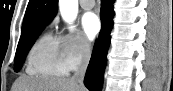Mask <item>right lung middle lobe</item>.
<instances>
[{
  "mask_svg": "<svg viewBox=\"0 0 173 91\" xmlns=\"http://www.w3.org/2000/svg\"><path fill=\"white\" fill-rule=\"evenodd\" d=\"M45 26L46 25H40L31 30L21 33V37L15 55V62H14L15 72H18L21 69L22 63L24 62L28 51L30 50L36 38L38 37V35L44 29Z\"/></svg>",
  "mask_w": 173,
  "mask_h": 91,
  "instance_id": "obj_1",
  "label": "right lung middle lobe"
}]
</instances>
